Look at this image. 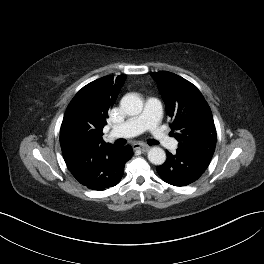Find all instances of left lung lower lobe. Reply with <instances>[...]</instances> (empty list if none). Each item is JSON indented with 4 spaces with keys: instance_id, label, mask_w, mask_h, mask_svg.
Instances as JSON below:
<instances>
[{
    "instance_id": "left-lung-lower-lobe-1",
    "label": "left lung lower lobe",
    "mask_w": 264,
    "mask_h": 264,
    "mask_svg": "<svg viewBox=\"0 0 264 264\" xmlns=\"http://www.w3.org/2000/svg\"><path fill=\"white\" fill-rule=\"evenodd\" d=\"M166 162L156 168L162 180L173 186H186L200 178L212 157L187 154L177 150L173 155L166 151Z\"/></svg>"
}]
</instances>
